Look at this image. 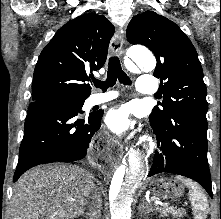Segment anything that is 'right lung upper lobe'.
<instances>
[{
	"mask_svg": "<svg viewBox=\"0 0 221 219\" xmlns=\"http://www.w3.org/2000/svg\"><path fill=\"white\" fill-rule=\"evenodd\" d=\"M114 27L104 16L83 14L61 27L41 52L36 64L32 100L87 98L92 72L107 58Z\"/></svg>",
	"mask_w": 221,
	"mask_h": 219,
	"instance_id": "1",
	"label": "right lung upper lobe"
}]
</instances>
